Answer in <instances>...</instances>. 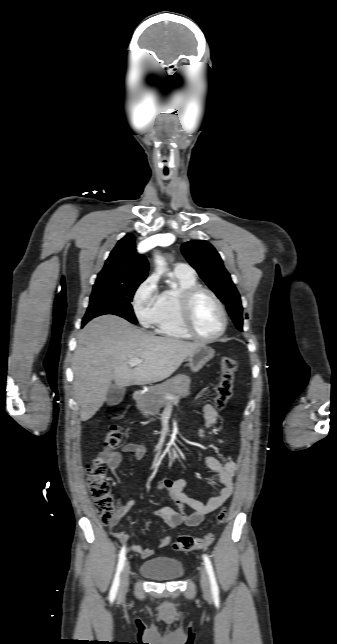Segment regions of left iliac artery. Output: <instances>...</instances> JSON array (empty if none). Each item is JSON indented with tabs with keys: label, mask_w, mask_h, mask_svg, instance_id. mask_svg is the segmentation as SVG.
Masks as SVG:
<instances>
[{
	"label": "left iliac artery",
	"mask_w": 337,
	"mask_h": 644,
	"mask_svg": "<svg viewBox=\"0 0 337 644\" xmlns=\"http://www.w3.org/2000/svg\"><path fill=\"white\" fill-rule=\"evenodd\" d=\"M203 559H204V564H205L206 570H207L208 575H209V579H210V583H211V590H212V592L214 594H218L219 589H218L217 581H216V578H215L212 563H211V561H210V559H209V557L207 555H203Z\"/></svg>",
	"instance_id": "1"
}]
</instances>
